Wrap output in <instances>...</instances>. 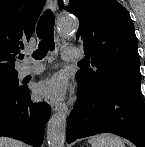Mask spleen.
Segmentation results:
<instances>
[{
  "instance_id": "3e777b00",
  "label": "spleen",
  "mask_w": 145,
  "mask_h": 147,
  "mask_svg": "<svg viewBox=\"0 0 145 147\" xmlns=\"http://www.w3.org/2000/svg\"><path fill=\"white\" fill-rule=\"evenodd\" d=\"M92 147H125L122 139L112 134H100L90 138Z\"/></svg>"
}]
</instances>
